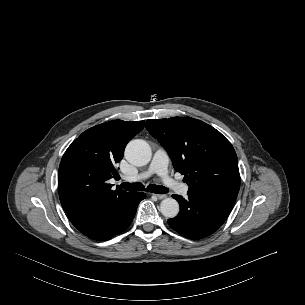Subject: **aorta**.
I'll return each mask as SVG.
<instances>
[{"label": "aorta", "instance_id": "1", "mask_svg": "<svg viewBox=\"0 0 305 305\" xmlns=\"http://www.w3.org/2000/svg\"><path fill=\"white\" fill-rule=\"evenodd\" d=\"M152 152L149 144L141 139L130 141L125 149V157L135 166H144L151 160ZM160 212L166 218H174L179 213V204L173 198H165L160 203Z\"/></svg>", "mask_w": 305, "mask_h": 305}]
</instances>
